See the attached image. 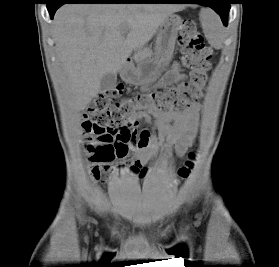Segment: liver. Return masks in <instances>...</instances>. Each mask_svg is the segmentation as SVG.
<instances>
[{
	"instance_id": "6515ba94",
	"label": "liver",
	"mask_w": 279,
	"mask_h": 267,
	"mask_svg": "<svg viewBox=\"0 0 279 267\" xmlns=\"http://www.w3.org/2000/svg\"><path fill=\"white\" fill-rule=\"evenodd\" d=\"M182 8L171 4L62 6L53 33L74 109H84L99 93L103 75L119 72L132 51L149 42L163 21Z\"/></svg>"
}]
</instances>
